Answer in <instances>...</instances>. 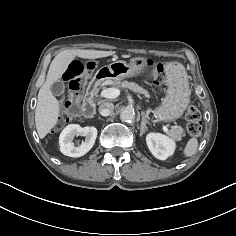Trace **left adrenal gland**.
<instances>
[{"instance_id":"1","label":"left adrenal gland","mask_w":236,"mask_h":236,"mask_svg":"<svg viewBox=\"0 0 236 236\" xmlns=\"http://www.w3.org/2000/svg\"><path fill=\"white\" fill-rule=\"evenodd\" d=\"M141 115H142V121H141L140 131L143 132L144 129L147 128L146 125H147V123H149V122H148V120L146 119V117L144 116V113H143V112L141 113Z\"/></svg>"}]
</instances>
